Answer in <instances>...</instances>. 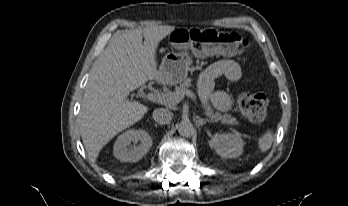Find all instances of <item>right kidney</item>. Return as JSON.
I'll use <instances>...</instances> for the list:
<instances>
[{"label": "right kidney", "mask_w": 348, "mask_h": 206, "mask_svg": "<svg viewBox=\"0 0 348 206\" xmlns=\"http://www.w3.org/2000/svg\"><path fill=\"white\" fill-rule=\"evenodd\" d=\"M131 142L135 145L131 146ZM138 142H140L138 144ZM152 138L144 130L130 129L121 134L113 147L114 156L122 162H137L149 151Z\"/></svg>", "instance_id": "1"}]
</instances>
